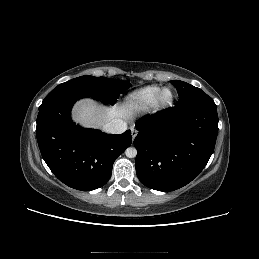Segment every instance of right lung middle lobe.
<instances>
[{"label": "right lung middle lobe", "mask_w": 259, "mask_h": 259, "mask_svg": "<svg viewBox=\"0 0 259 259\" xmlns=\"http://www.w3.org/2000/svg\"><path fill=\"white\" fill-rule=\"evenodd\" d=\"M131 84L129 82L94 76H81L55 87L43 100H50L53 97L63 94H76L81 96H91L92 98L103 100L114 104L121 93Z\"/></svg>", "instance_id": "1"}]
</instances>
